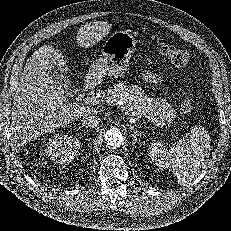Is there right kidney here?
Returning <instances> with one entry per match:
<instances>
[{
  "instance_id": "1",
  "label": "right kidney",
  "mask_w": 231,
  "mask_h": 231,
  "mask_svg": "<svg viewBox=\"0 0 231 231\" xmlns=\"http://www.w3.org/2000/svg\"><path fill=\"white\" fill-rule=\"evenodd\" d=\"M79 149L77 138L58 133L48 139L45 151L56 163L67 164L74 159Z\"/></svg>"
}]
</instances>
